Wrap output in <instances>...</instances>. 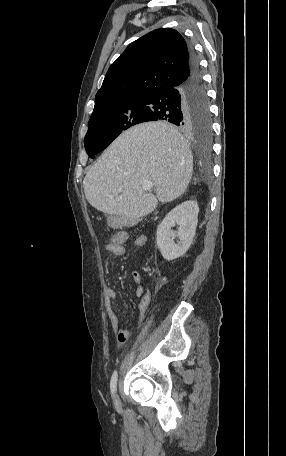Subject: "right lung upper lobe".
Here are the masks:
<instances>
[{
    "label": "right lung upper lobe",
    "instance_id": "right-lung-upper-lobe-1",
    "mask_svg": "<svg viewBox=\"0 0 286 456\" xmlns=\"http://www.w3.org/2000/svg\"><path fill=\"white\" fill-rule=\"evenodd\" d=\"M189 59L190 49L176 30L162 28L146 34L131 43L110 66L96 94L93 112L185 80Z\"/></svg>",
    "mask_w": 286,
    "mask_h": 456
}]
</instances>
